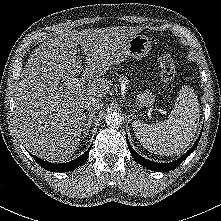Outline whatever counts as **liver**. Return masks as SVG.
<instances>
[{
    "label": "liver",
    "mask_w": 221,
    "mask_h": 221,
    "mask_svg": "<svg viewBox=\"0 0 221 221\" xmlns=\"http://www.w3.org/2000/svg\"><path fill=\"white\" fill-rule=\"evenodd\" d=\"M140 27L72 30L44 41L26 62L15 91L14 124L25 147L48 161L69 158L87 119L85 104L103 99L112 82L101 78ZM80 44L87 68L77 56ZM83 72L89 84L64 89Z\"/></svg>",
    "instance_id": "1"
}]
</instances>
